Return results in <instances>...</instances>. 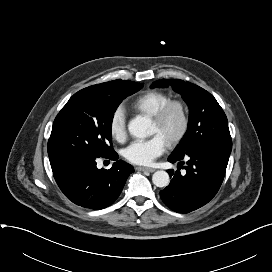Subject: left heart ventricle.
<instances>
[{"mask_svg": "<svg viewBox=\"0 0 272 272\" xmlns=\"http://www.w3.org/2000/svg\"><path fill=\"white\" fill-rule=\"evenodd\" d=\"M180 115L178 111L173 110L169 113L165 121L161 125H157L152 121L151 133L161 135L167 142L174 136L180 128Z\"/></svg>", "mask_w": 272, "mask_h": 272, "instance_id": "obj_1", "label": "left heart ventricle"}]
</instances>
